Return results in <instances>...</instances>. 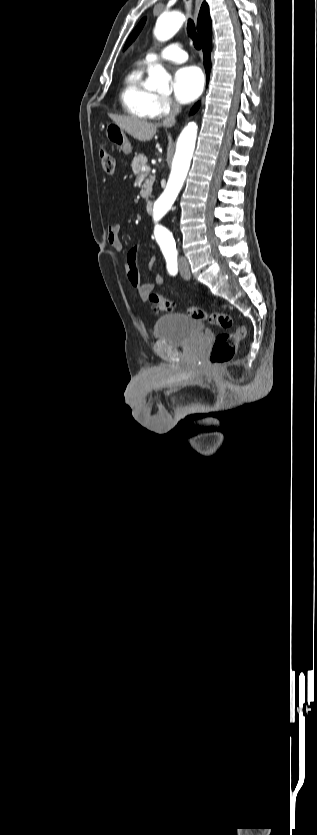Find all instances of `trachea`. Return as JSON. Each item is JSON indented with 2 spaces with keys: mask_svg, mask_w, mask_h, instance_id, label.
I'll return each mask as SVG.
<instances>
[{
  "mask_svg": "<svg viewBox=\"0 0 317 835\" xmlns=\"http://www.w3.org/2000/svg\"><path fill=\"white\" fill-rule=\"evenodd\" d=\"M187 32H188V36L193 41L194 47L197 50H200L201 47H202V40H201V37L196 32L194 21L191 18L188 19Z\"/></svg>",
  "mask_w": 317,
  "mask_h": 835,
  "instance_id": "3493384b",
  "label": "trachea"
}]
</instances>
